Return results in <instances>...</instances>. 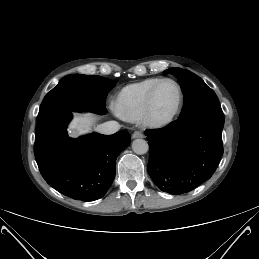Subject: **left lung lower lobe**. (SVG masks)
<instances>
[{
  "mask_svg": "<svg viewBox=\"0 0 259 259\" xmlns=\"http://www.w3.org/2000/svg\"><path fill=\"white\" fill-rule=\"evenodd\" d=\"M222 109L179 118L158 130H146L148 173L155 185L172 195L184 194L211 178L223 154Z\"/></svg>",
  "mask_w": 259,
  "mask_h": 259,
  "instance_id": "left-lung-lower-lobe-1",
  "label": "left lung lower lobe"
}]
</instances>
